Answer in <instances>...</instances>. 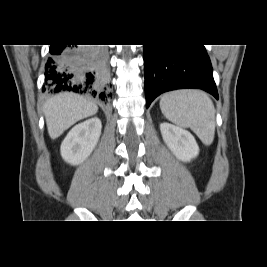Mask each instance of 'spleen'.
<instances>
[{
    "mask_svg": "<svg viewBox=\"0 0 267 267\" xmlns=\"http://www.w3.org/2000/svg\"><path fill=\"white\" fill-rule=\"evenodd\" d=\"M160 109L174 124L191 128L205 145L213 142L215 108L205 92L179 90L166 93L161 97Z\"/></svg>",
    "mask_w": 267,
    "mask_h": 267,
    "instance_id": "3e777b00",
    "label": "spleen"
}]
</instances>
